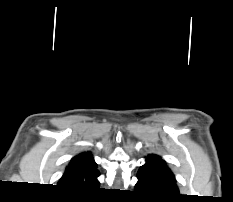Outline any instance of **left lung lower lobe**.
<instances>
[{"label": "left lung lower lobe", "instance_id": "obj_1", "mask_svg": "<svg viewBox=\"0 0 233 202\" xmlns=\"http://www.w3.org/2000/svg\"><path fill=\"white\" fill-rule=\"evenodd\" d=\"M135 192L151 202H175L180 197L177 185L155 176L146 169L138 171Z\"/></svg>", "mask_w": 233, "mask_h": 202}]
</instances>
